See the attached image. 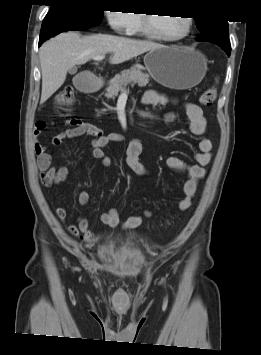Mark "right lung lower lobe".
<instances>
[{
    "label": "right lung lower lobe",
    "instance_id": "right-lung-lower-lobe-1",
    "mask_svg": "<svg viewBox=\"0 0 261 355\" xmlns=\"http://www.w3.org/2000/svg\"><path fill=\"white\" fill-rule=\"evenodd\" d=\"M92 26L82 18L73 14H54L46 15L40 33L39 46L52 36L64 31L70 30H85Z\"/></svg>",
    "mask_w": 261,
    "mask_h": 355
}]
</instances>
